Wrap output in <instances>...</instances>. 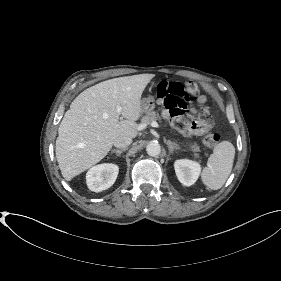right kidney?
<instances>
[{"label":"right kidney","instance_id":"ca27d5eb","mask_svg":"<svg viewBox=\"0 0 281 281\" xmlns=\"http://www.w3.org/2000/svg\"><path fill=\"white\" fill-rule=\"evenodd\" d=\"M118 172V166L112 163L93 166L86 174L87 186L94 192L106 190L114 184Z\"/></svg>","mask_w":281,"mask_h":281}]
</instances>
